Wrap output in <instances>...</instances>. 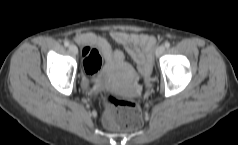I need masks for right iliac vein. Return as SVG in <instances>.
Instances as JSON below:
<instances>
[{
  "label": "right iliac vein",
  "instance_id": "63e3f726",
  "mask_svg": "<svg viewBox=\"0 0 238 145\" xmlns=\"http://www.w3.org/2000/svg\"><path fill=\"white\" fill-rule=\"evenodd\" d=\"M69 49H70L71 53H73L74 55L78 54V48L76 45H73V44L70 45Z\"/></svg>",
  "mask_w": 238,
  "mask_h": 145
}]
</instances>
